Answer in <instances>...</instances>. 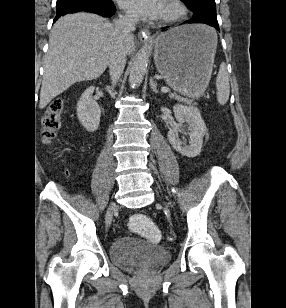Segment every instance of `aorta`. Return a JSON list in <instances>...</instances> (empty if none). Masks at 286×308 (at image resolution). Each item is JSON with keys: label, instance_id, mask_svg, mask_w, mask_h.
I'll use <instances>...</instances> for the list:
<instances>
[{"label": "aorta", "instance_id": "aorta-1", "mask_svg": "<svg viewBox=\"0 0 286 308\" xmlns=\"http://www.w3.org/2000/svg\"><path fill=\"white\" fill-rule=\"evenodd\" d=\"M149 62V51L142 49L136 55L129 73V83L131 86H138L142 83Z\"/></svg>", "mask_w": 286, "mask_h": 308}]
</instances>
